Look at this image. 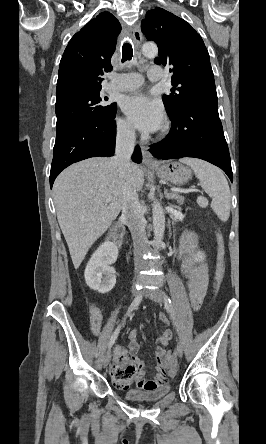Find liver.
Returning a JSON list of instances; mask_svg holds the SVG:
<instances>
[{
	"mask_svg": "<svg viewBox=\"0 0 266 444\" xmlns=\"http://www.w3.org/2000/svg\"><path fill=\"white\" fill-rule=\"evenodd\" d=\"M131 178L136 191H141L144 184L141 166L131 164ZM125 185L126 179L114 159L104 157L73 164L56 178L53 197L57 219L75 269L120 213Z\"/></svg>",
	"mask_w": 266,
	"mask_h": 444,
	"instance_id": "obj_1",
	"label": "liver"
}]
</instances>
